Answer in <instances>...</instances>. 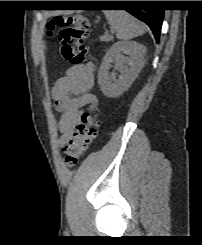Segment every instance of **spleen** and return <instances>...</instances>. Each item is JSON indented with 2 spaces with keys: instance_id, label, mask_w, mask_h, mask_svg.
I'll use <instances>...</instances> for the list:
<instances>
[{
  "instance_id": "obj_1",
  "label": "spleen",
  "mask_w": 202,
  "mask_h": 245,
  "mask_svg": "<svg viewBox=\"0 0 202 245\" xmlns=\"http://www.w3.org/2000/svg\"><path fill=\"white\" fill-rule=\"evenodd\" d=\"M106 19L116 32V37L128 41L143 35L145 27L126 11H104Z\"/></svg>"
}]
</instances>
